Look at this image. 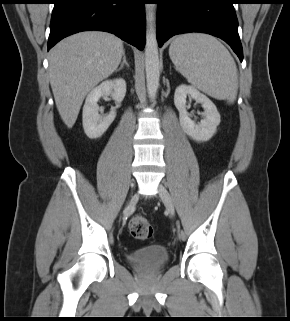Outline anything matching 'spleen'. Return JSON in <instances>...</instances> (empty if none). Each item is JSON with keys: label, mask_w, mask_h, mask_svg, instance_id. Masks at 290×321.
Wrapping results in <instances>:
<instances>
[{"label": "spleen", "mask_w": 290, "mask_h": 321, "mask_svg": "<svg viewBox=\"0 0 290 321\" xmlns=\"http://www.w3.org/2000/svg\"><path fill=\"white\" fill-rule=\"evenodd\" d=\"M169 55L194 87L211 97L234 102L238 90L236 63L216 38L199 33L178 36L170 45Z\"/></svg>", "instance_id": "3e777b00"}]
</instances>
